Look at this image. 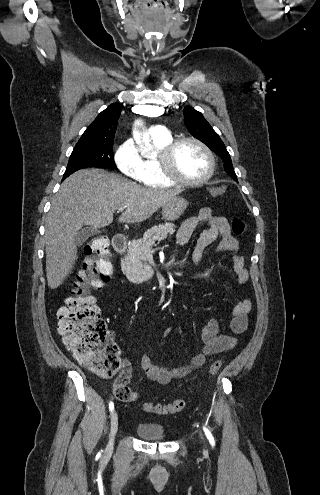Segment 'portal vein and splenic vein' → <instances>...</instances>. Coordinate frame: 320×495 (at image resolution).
<instances>
[{
  "label": "portal vein and splenic vein",
  "instance_id": "18ae733b",
  "mask_svg": "<svg viewBox=\"0 0 320 495\" xmlns=\"http://www.w3.org/2000/svg\"><path fill=\"white\" fill-rule=\"evenodd\" d=\"M123 210H124V207H121V208L118 209V212H121ZM147 251H150V249H148Z\"/></svg>",
  "mask_w": 320,
  "mask_h": 495
}]
</instances>
